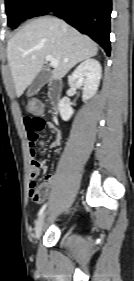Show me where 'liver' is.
I'll use <instances>...</instances> for the list:
<instances>
[{
  "mask_svg": "<svg viewBox=\"0 0 134 281\" xmlns=\"http://www.w3.org/2000/svg\"><path fill=\"white\" fill-rule=\"evenodd\" d=\"M97 44L64 21L39 17L26 24L7 44L16 95L20 97L41 71L47 55L57 59L52 75L61 79L77 63L97 54Z\"/></svg>",
  "mask_w": 134,
  "mask_h": 281,
  "instance_id": "1",
  "label": "liver"
}]
</instances>
